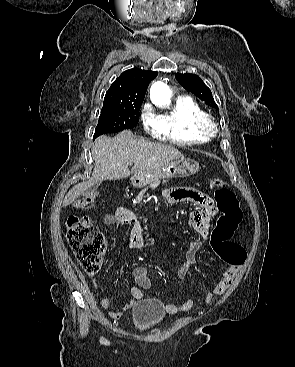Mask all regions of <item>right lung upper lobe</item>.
Instances as JSON below:
<instances>
[{"label": "right lung upper lobe", "instance_id": "1", "mask_svg": "<svg viewBox=\"0 0 295 367\" xmlns=\"http://www.w3.org/2000/svg\"><path fill=\"white\" fill-rule=\"evenodd\" d=\"M156 76L154 71L139 68L126 70L112 83L104 101H143L149 83Z\"/></svg>", "mask_w": 295, "mask_h": 367}]
</instances>
